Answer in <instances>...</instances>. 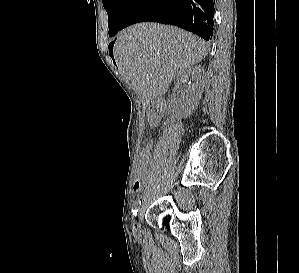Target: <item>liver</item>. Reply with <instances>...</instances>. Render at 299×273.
<instances>
[{
    "label": "liver",
    "instance_id": "1",
    "mask_svg": "<svg viewBox=\"0 0 299 273\" xmlns=\"http://www.w3.org/2000/svg\"><path fill=\"white\" fill-rule=\"evenodd\" d=\"M205 41L176 27L139 23L121 31L114 45L119 70L145 102L164 95L173 78L201 61Z\"/></svg>",
    "mask_w": 299,
    "mask_h": 273
}]
</instances>
